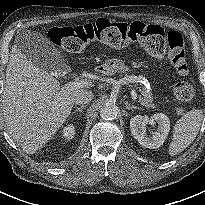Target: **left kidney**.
Segmentation results:
<instances>
[{"label": "left kidney", "mask_w": 205, "mask_h": 205, "mask_svg": "<svg viewBox=\"0 0 205 205\" xmlns=\"http://www.w3.org/2000/svg\"><path fill=\"white\" fill-rule=\"evenodd\" d=\"M158 124V129L152 135L148 137L146 134L145 125L153 123ZM130 128L133 137L139 142V144L145 148L156 149L163 145L165 139L168 136L170 130V120L163 113H157L148 118L147 116L136 115L130 119Z\"/></svg>", "instance_id": "5707ae66"}]
</instances>
